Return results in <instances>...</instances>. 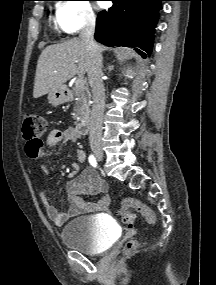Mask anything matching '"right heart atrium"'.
Instances as JSON below:
<instances>
[{"label":"right heart atrium","instance_id":"1","mask_svg":"<svg viewBox=\"0 0 216 285\" xmlns=\"http://www.w3.org/2000/svg\"><path fill=\"white\" fill-rule=\"evenodd\" d=\"M96 14L88 0H64L56 7V23L66 34H75L95 24Z\"/></svg>","mask_w":216,"mask_h":285}]
</instances>
